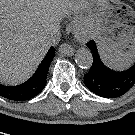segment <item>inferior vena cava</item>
I'll use <instances>...</instances> for the list:
<instances>
[{"label": "inferior vena cava", "mask_w": 135, "mask_h": 135, "mask_svg": "<svg viewBox=\"0 0 135 135\" xmlns=\"http://www.w3.org/2000/svg\"><path fill=\"white\" fill-rule=\"evenodd\" d=\"M60 37H61L60 32L58 30H55L45 38L44 45L47 48L55 46L59 43Z\"/></svg>", "instance_id": "1"}]
</instances>
